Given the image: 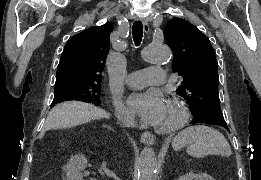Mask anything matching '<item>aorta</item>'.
<instances>
[{
    "instance_id": "aorta-1",
    "label": "aorta",
    "mask_w": 261,
    "mask_h": 180,
    "mask_svg": "<svg viewBox=\"0 0 261 180\" xmlns=\"http://www.w3.org/2000/svg\"><path fill=\"white\" fill-rule=\"evenodd\" d=\"M142 58L153 64L168 62L172 57V52L165 45L151 44L141 51ZM138 180H155L156 178V155L152 148L145 147L138 159Z\"/></svg>"
}]
</instances>
